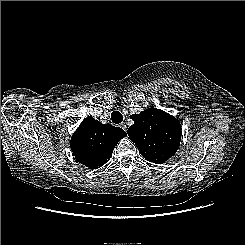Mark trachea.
I'll list each match as a JSON object with an SVG mask.
<instances>
[{
	"mask_svg": "<svg viewBox=\"0 0 245 245\" xmlns=\"http://www.w3.org/2000/svg\"><path fill=\"white\" fill-rule=\"evenodd\" d=\"M111 120L115 124H119L123 121V116L119 111H113L111 114Z\"/></svg>",
	"mask_w": 245,
	"mask_h": 245,
	"instance_id": "obj_1",
	"label": "trachea"
}]
</instances>
